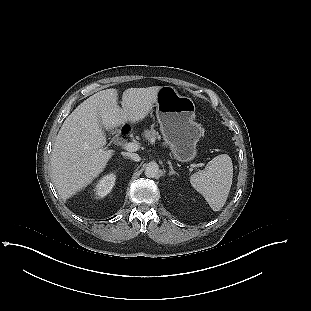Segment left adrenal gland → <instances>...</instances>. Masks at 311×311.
Listing matches in <instances>:
<instances>
[{
	"label": "left adrenal gland",
	"instance_id": "obj_1",
	"mask_svg": "<svg viewBox=\"0 0 311 311\" xmlns=\"http://www.w3.org/2000/svg\"><path fill=\"white\" fill-rule=\"evenodd\" d=\"M168 164H169V168H170L169 175H176V174L178 175V173L176 171H174L170 161H168Z\"/></svg>",
	"mask_w": 311,
	"mask_h": 311
}]
</instances>
